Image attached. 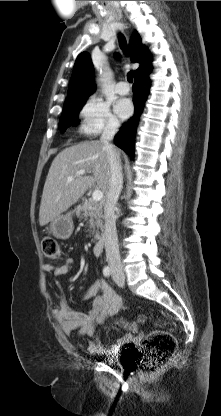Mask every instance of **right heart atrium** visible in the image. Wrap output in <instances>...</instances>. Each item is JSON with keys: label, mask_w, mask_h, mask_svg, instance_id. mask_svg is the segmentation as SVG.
<instances>
[{"label": "right heart atrium", "mask_w": 221, "mask_h": 416, "mask_svg": "<svg viewBox=\"0 0 221 416\" xmlns=\"http://www.w3.org/2000/svg\"><path fill=\"white\" fill-rule=\"evenodd\" d=\"M80 131L87 136L103 132H116L119 121L111 112L108 103L96 96H90L80 109Z\"/></svg>", "instance_id": "right-heart-atrium-1"}]
</instances>
